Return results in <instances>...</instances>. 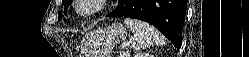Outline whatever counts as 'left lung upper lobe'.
<instances>
[{
    "instance_id": "left-lung-upper-lobe-1",
    "label": "left lung upper lobe",
    "mask_w": 249,
    "mask_h": 57,
    "mask_svg": "<svg viewBox=\"0 0 249 57\" xmlns=\"http://www.w3.org/2000/svg\"><path fill=\"white\" fill-rule=\"evenodd\" d=\"M62 2L65 3L64 11L67 12V8L71 4L72 0H63ZM61 17H62V14L59 12L58 13V19L61 20Z\"/></svg>"
}]
</instances>
